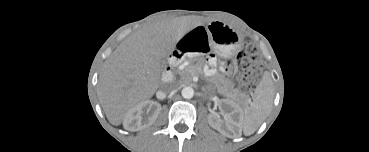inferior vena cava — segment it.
<instances>
[{
    "label": "inferior vena cava",
    "instance_id": "obj_1",
    "mask_svg": "<svg viewBox=\"0 0 369 152\" xmlns=\"http://www.w3.org/2000/svg\"><path fill=\"white\" fill-rule=\"evenodd\" d=\"M177 87L178 85L175 82L166 81L161 85L160 92L162 96L165 97L167 94L175 91Z\"/></svg>",
    "mask_w": 369,
    "mask_h": 152
}]
</instances>
